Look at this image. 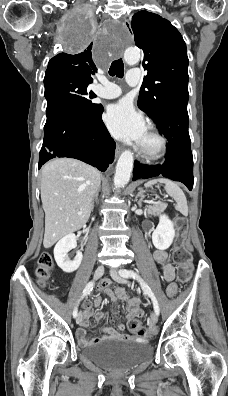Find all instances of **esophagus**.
<instances>
[{
  "instance_id": "34e87169",
  "label": "esophagus",
  "mask_w": 228,
  "mask_h": 396,
  "mask_svg": "<svg viewBox=\"0 0 228 396\" xmlns=\"http://www.w3.org/2000/svg\"><path fill=\"white\" fill-rule=\"evenodd\" d=\"M127 22H128V21H127ZM121 151H122V147H121L120 145H117V146H116V152H115L116 157L119 156V154L121 153Z\"/></svg>"
}]
</instances>
